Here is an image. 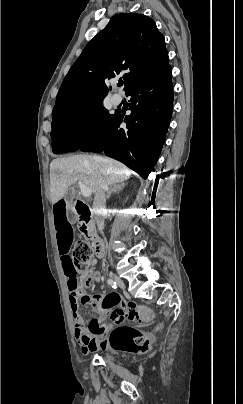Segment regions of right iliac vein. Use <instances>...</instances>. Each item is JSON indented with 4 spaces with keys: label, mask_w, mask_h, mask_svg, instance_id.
<instances>
[{
    "label": "right iliac vein",
    "mask_w": 243,
    "mask_h": 404,
    "mask_svg": "<svg viewBox=\"0 0 243 404\" xmlns=\"http://www.w3.org/2000/svg\"><path fill=\"white\" fill-rule=\"evenodd\" d=\"M112 278L115 280V282L118 284L119 287L121 288H125V284L123 282V280H121L117 275L113 274Z\"/></svg>",
    "instance_id": "obj_1"
}]
</instances>
